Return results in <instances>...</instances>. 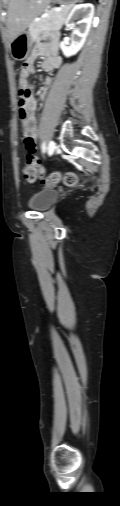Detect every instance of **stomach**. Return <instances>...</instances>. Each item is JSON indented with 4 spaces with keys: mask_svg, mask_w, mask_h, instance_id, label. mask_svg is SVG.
I'll list each match as a JSON object with an SVG mask.
<instances>
[{
    "mask_svg": "<svg viewBox=\"0 0 120 506\" xmlns=\"http://www.w3.org/2000/svg\"><path fill=\"white\" fill-rule=\"evenodd\" d=\"M54 3L64 5L66 7L73 6L79 0H52ZM33 38L28 31H23L14 40L10 42L12 57L17 61L25 60L31 50Z\"/></svg>",
    "mask_w": 120,
    "mask_h": 506,
    "instance_id": "obj_1",
    "label": "stomach"
}]
</instances>
